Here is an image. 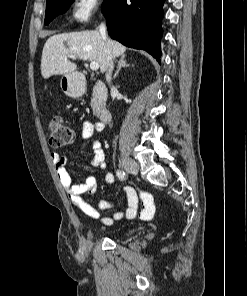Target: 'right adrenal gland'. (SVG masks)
Instances as JSON below:
<instances>
[{"label": "right adrenal gland", "instance_id": "1", "mask_svg": "<svg viewBox=\"0 0 247 296\" xmlns=\"http://www.w3.org/2000/svg\"><path fill=\"white\" fill-rule=\"evenodd\" d=\"M125 57H126V55H122V56L120 57V60H119V62H118V69H117V71L115 72V74H114V76H113L114 79L118 76L119 71H120L123 67H129V66H130L129 64H127V62H126V60H125Z\"/></svg>", "mask_w": 247, "mask_h": 296}]
</instances>
